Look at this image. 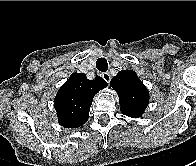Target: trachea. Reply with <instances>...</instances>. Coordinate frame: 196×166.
<instances>
[{
    "mask_svg": "<svg viewBox=\"0 0 196 166\" xmlns=\"http://www.w3.org/2000/svg\"><path fill=\"white\" fill-rule=\"evenodd\" d=\"M96 68L101 72H106L108 69V63L105 58H99L96 61Z\"/></svg>",
    "mask_w": 196,
    "mask_h": 166,
    "instance_id": "trachea-1",
    "label": "trachea"
}]
</instances>
